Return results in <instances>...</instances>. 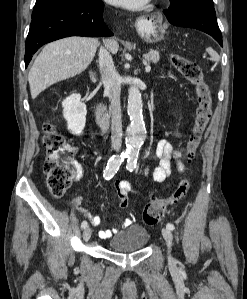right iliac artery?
Segmentation results:
<instances>
[{"mask_svg":"<svg viewBox=\"0 0 247 299\" xmlns=\"http://www.w3.org/2000/svg\"><path fill=\"white\" fill-rule=\"evenodd\" d=\"M128 155L126 153H121L120 155H113L108 163H107V167L106 169L104 170V174H103V177L106 179V180H109L111 179L115 173H117L121 163L124 161V159L127 157ZM87 227V222L86 221H83L81 223V228L82 229H85Z\"/></svg>","mask_w":247,"mask_h":299,"instance_id":"right-iliac-artery-1","label":"right iliac artery"}]
</instances>
